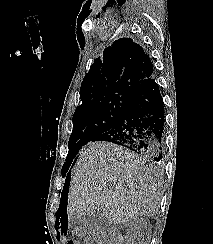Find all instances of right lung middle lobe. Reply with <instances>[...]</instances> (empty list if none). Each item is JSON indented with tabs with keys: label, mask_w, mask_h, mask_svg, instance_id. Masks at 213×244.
Listing matches in <instances>:
<instances>
[{
	"label": "right lung middle lobe",
	"mask_w": 213,
	"mask_h": 244,
	"mask_svg": "<svg viewBox=\"0 0 213 244\" xmlns=\"http://www.w3.org/2000/svg\"><path fill=\"white\" fill-rule=\"evenodd\" d=\"M132 98L123 94L108 95L76 109L73 116V131L68 143L69 153L62 167V175H66L83 145L117 124Z\"/></svg>",
	"instance_id": "1"
}]
</instances>
